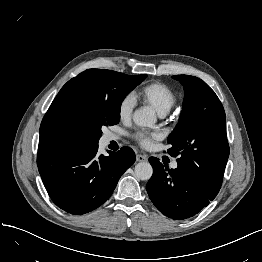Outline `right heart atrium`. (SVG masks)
Returning <instances> with one entry per match:
<instances>
[{
	"label": "right heart atrium",
	"instance_id": "right-heart-atrium-1",
	"mask_svg": "<svg viewBox=\"0 0 262 262\" xmlns=\"http://www.w3.org/2000/svg\"><path fill=\"white\" fill-rule=\"evenodd\" d=\"M135 103V98L131 94H127L121 99L118 105V116L121 120L127 121L131 118Z\"/></svg>",
	"mask_w": 262,
	"mask_h": 262
}]
</instances>
